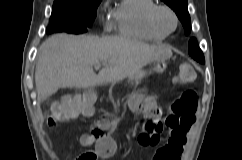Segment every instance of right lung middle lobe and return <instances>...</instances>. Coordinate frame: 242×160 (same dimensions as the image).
<instances>
[{
	"label": "right lung middle lobe",
	"mask_w": 242,
	"mask_h": 160,
	"mask_svg": "<svg viewBox=\"0 0 242 160\" xmlns=\"http://www.w3.org/2000/svg\"><path fill=\"white\" fill-rule=\"evenodd\" d=\"M101 0H55L46 33H84L92 25Z\"/></svg>",
	"instance_id": "1"
}]
</instances>
